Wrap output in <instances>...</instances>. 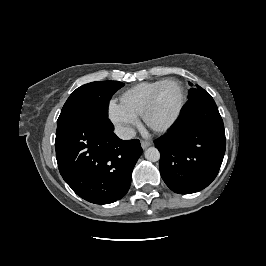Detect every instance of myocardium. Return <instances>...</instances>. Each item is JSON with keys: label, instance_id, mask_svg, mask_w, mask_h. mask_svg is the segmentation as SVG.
<instances>
[{"label": "myocardium", "instance_id": "1", "mask_svg": "<svg viewBox=\"0 0 266 266\" xmlns=\"http://www.w3.org/2000/svg\"><path fill=\"white\" fill-rule=\"evenodd\" d=\"M168 83H176L179 88H180V92H181V99H180V103H179V106L175 112V114L173 115V117L164 125L162 126H159V127H155L153 125H151L150 121H149V115H150V112L151 110L153 109L154 107V104H155V101L157 99V96L160 92V90L162 89L163 86H165L166 84ZM186 100H187V93H186V89L183 85V83L176 79V78H168V79H165L152 93L151 97L149 98L144 110H143V113H142V119L144 121V123L154 132H157V133H163V132H166L168 131L176 122L177 120L179 119L184 107H185V104H186Z\"/></svg>", "mask_w": 266, "mask_h": 266}]
</instances>
